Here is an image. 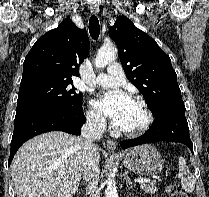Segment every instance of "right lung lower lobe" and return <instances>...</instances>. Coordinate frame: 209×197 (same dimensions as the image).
<instances>
[{"label":"right lung lower lobe","mask_w":209,"mask_h":197,"mask_svg":"<svg viewBox=\"0 0 209 197\" xmlns=\"http://www.w3.org/2000/svg\"><path fill=\"white\" fill-rule=\"evenodd\" d=\"M14 122L8 165H10L19 147L28 139L49 131H64L80 135L81 127L86 122V118L82 106H50L16 114Z\"/></svg>","instance_id":"obj_1"}]
</instances>
